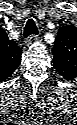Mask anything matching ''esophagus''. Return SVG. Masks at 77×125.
<instances>
[{
  "label": "esophagus",
  "mask_w": 77,
  "mask_h": 125,
  "mask_svg": "<svg viewBox=\"0 0 77 125\" xmlns=\"http://www.w3.org/2000/svg\"><path fill=\"white\" fill-rule=\"evenodd\" d=\"M37 40H38V36H36V35H31L30 37H28V38L24 41L23 45H24L25 47H27V46L31 45L33 42H35V41H37Z\"/></svg>",
  "instance_id": "34e87169"
}]
</instances>
